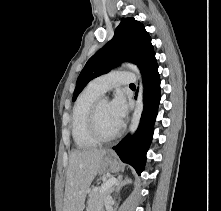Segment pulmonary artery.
<instances>
[{"label": "pulmonary artery", "mask_w": 221, "mask_h": 211, "mask_svg": "<svg viewBox=\"0 0 221 211\" xmlns=\"http://www.w3.org/2000/svg\"><path fill=\"white\" fill-rule=\"evenodd\" d=\"M134 81L135 75L132 72L115 70L93 79L90 85L103 94L113 87L131 84Z\"/></svg>", "instance_id": "pulmonary-artery-1"}]
</instances>
